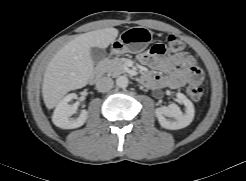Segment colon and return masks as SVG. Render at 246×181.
<instances>
[{
	"mask_svg": "<svg viewBox=\"0 0 246 181\" xmlns=\"http://www.w3.org/2000/svg\"><path fill=\"white\" fill-rule=\"evenodd\" d=\"M185 49V44L181 40L174 36L168 38L167 45H154L151 51L154 54H164L166 52L181 53ZM203 80V74L201 70L196 66L192 68L191 84L187 86L186 92L193 100H200L203 97V91L200 84Z\"/></svg>",
	"mask_w": 246,
	"mask_h": 181,
	"instance_id": "obj_1",
	"label": "colon"
}]
</instances>
